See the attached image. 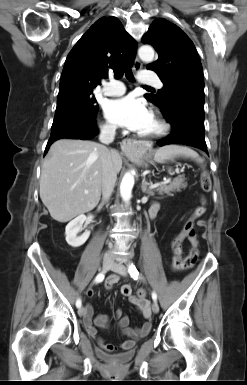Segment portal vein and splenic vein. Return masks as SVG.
I'll use <instances>...</instances> for the list:
<instances>
[{"label": "portal vein and splenic vein", "instance_id": "18ae733b", "mask_svg": "<svg viewBox=\"0 0 247 385\" xmlns=\"http://www.w3.org/2000/svg\"><path fill=\"white\" fill-rule=\"evenodd\" d=\"M176 171L179 172V168H176ZM162 184H165V182H158V183L152 184V185L150 186V188H151V189H154V188H156V187H158V186H160V185H162ZM85 193L87 194L88 191L85 190Z\"/></svg>", "mask_w": 247, "mask_h": 385}]
</instances>
